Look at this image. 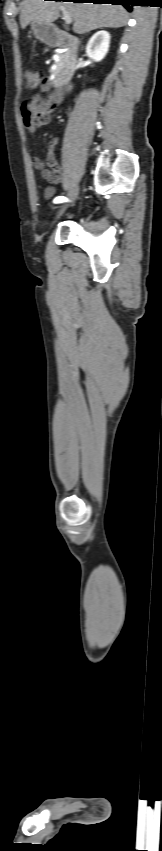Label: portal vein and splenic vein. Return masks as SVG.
<instances>
[{"label": "portal vein and splenic vein", "mask_w": 162, "mask_h": 851, "mask_svg": "<svg viewBox=\"0 0 162 851\" xmlns=\"http://www.w3.org/2000/svg\"><path fill=\"white\" fill-rule=\"evenodd\" d=\"M60 10L62 11L63 20L65 21V23L67 25L72 23V17L69 15V13L66 11V9L64 7H60Z\"/></svg>", "instance_id": "obj_1"}]
</instances>
